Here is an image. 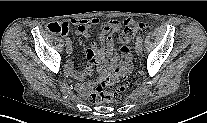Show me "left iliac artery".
<instances>
[{"mask_svg": "<svg viewBox=\"0 0 207 123\" xmlns=\"http://www.w3.org/2000/svg\"><path fill=\"white\" fill-rule=\"evenodd\" d=\"M136 41L142 43L143 39H142L141 35L137 36Z\"/></svg>", "mask_w": 207, "mask_h": 123, "instance_id": "1", "label": "left iliac artery"}]
</instances>
